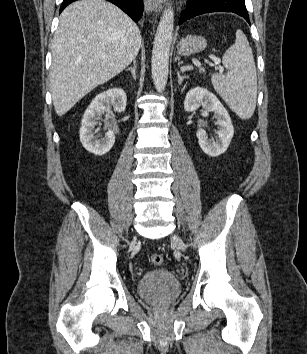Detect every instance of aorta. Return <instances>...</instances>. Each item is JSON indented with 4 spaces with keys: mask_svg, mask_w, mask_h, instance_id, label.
<instances>
[{
    "mask_svg": "<svg viewBox=\"0 0 307 354\" xmlns=\"http://www.w3.org/2000/svg\"><path fill=\"white\" fill-rule=\"evenodd\" d=\"M174 30V11L168 6L157 27L152 50V79L157 91L165 89L168 79L169 53Z\"/></svg>",
    "mask_w": 307,
    "mask_h": 354,
    "instance_id": "1",
    "label": "aorta"
}]
</instances>
